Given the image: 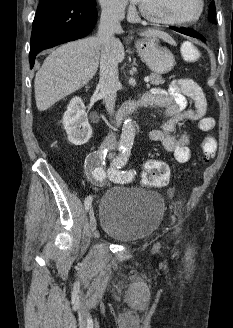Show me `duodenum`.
<instances>
[{
    "instance_id": "1",
    "label": "duodenum",
    "mask_w": 233,
    "mask_h": 328,
    "mask_svg": "<svg viewBox=\"0 0 233 328\" xmlns=\"http://www.w3.org/2000/svg\"><path fill=\"white\" fill-rule=\"evenodd\" d=\"M151 102L150 96L148 93L141 95L140 97L130 100L124 105V113L130 114L133 111L146 107Z\"/></svg>"
}]
</instances>
